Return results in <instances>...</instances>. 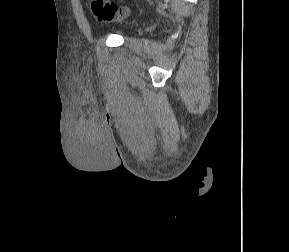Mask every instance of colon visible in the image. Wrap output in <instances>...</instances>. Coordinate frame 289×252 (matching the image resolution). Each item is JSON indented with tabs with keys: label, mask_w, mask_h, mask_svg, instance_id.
I'll return each instance as SVG.
<instances>
[{
	"label": "colon",
	"mask_w": 289,
	"mask_h": 252,
	"mask_svg": "<svg viewBox=\"0 0 289 252\" xmlns=\"http://www.w3.org/2000/svg\"><path fill=\"white\" fill-rule=\"evenodd\" d=\"M90 12L101 22H113L127 14V9L118 7L109 0H87Z\"/></svg>",
	"instance_id": "5ec220e1"
}]
</instances>
